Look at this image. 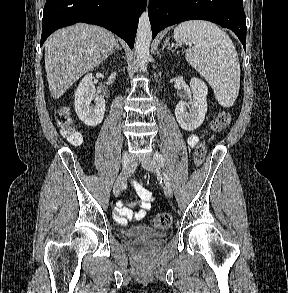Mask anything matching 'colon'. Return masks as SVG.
<instances>
[{"instance_id": "5ec220e1", "label": "colon", "mask_w": 288, "mask_h": 293, "mask_svg": "<svg viewBox=\"0 0 288 293\" xmlns=\"http://www.w3.org/2000/svg\"><path fill=\"white\" fill-rule=\"evenodd\" d=\"M56 122L62 135L72 144L78 146L82 143L81 134L75 129L73 119L68 110H62L56 115ZM231 122V113L222 111L211 121L210 132H219ZM206 157V145L201 141L194 151V163L201 165ZM171 215L165 212L158 213L153 218V225L159 229H166L171 225Z\"/></svg>"}]
</instances>
